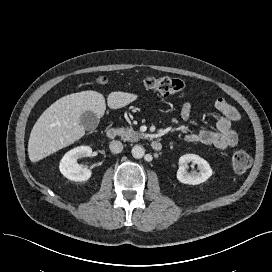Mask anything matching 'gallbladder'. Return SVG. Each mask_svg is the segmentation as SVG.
<instances>
[{
	"label": "gallbladder",
	"instance_id": "bac80fb5",
	"mask_svg": "<svg viewBox=\"0 0 272 272\" xmlns=\"http://www.w3.org/2000/svg\"><path fill=\"white\" fill-rule=\"evenodd\" d=\"M80 124L86 129V130H94L98 124H99V118L97 115L91 111H85L82 113L80 117Z\"/></svg>",
	"mask_w": 272,
	"mask_h": 272
}]
</instances>
